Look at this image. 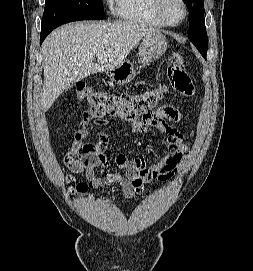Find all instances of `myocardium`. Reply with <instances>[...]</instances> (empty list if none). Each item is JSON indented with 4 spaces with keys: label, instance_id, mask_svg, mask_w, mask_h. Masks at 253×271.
<instances>
[{
    "label": "myocardium",
    "instance_id": "myocardium-1",
    "mask_svg": "<svg viewBox=\"0 0 253 271\" xmlns=\"http://www.w3.org/2000/svg\"><path fill=\"white\" fill-rule=\"evenodd\" d=\"M182 7H183V17L180 21L178 22H173L170 20V18L167 16L165 9H164V4L165 0H154V10L157 14V16L161 19V21L166 25L170 27H177L181 25L187 18L188 16V7L186 4L185 0H179Z\"/></svg>",
    "mask_w": 253,
    "mask_h": 271
}]
</instances>
